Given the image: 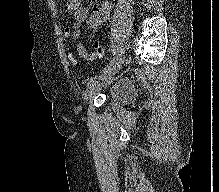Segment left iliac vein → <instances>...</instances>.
I'll return each mask as SVG.
<instances>
[{
  "label": "left iliac vein",
  "mask_w": 219,
  "mask_h": 192,
  "mask_svg": "<svg viewBox=\"0 0 219 192\" xmlns=\"http://www.w3.org/2000/svg\"><path fill=\"white\" fill-rule=\"evenodd\" d=\"M126 56L124 54L119 55L113 62V64L103 72L97 79L91 80L88 83L87 90L84 93V99L89 101L99 93L104 85L110 84L113 81V76L120 70L124 64Z\"/></svg>",
  "instance_id": "left-iliac-vein-1"
}]
</instances>
